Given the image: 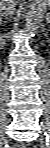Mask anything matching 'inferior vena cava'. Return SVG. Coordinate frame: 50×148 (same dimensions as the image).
<instances>
[{"label": "inferior vena cava", "instance_id": "1", "mask_svg": "<svg viewBox=\"0 0 50 148\" xmlns=\"http://www.w3.org/2000/svg\"><path fill=\"white\" fill-rule=\"evenodd\" d=\"M14 1L15 0H5L4 4L2 5V10H6L9 14H12L14 10Z\"/></svg>", "mask_w": 50, "mask_h": 148}]
</instances>
